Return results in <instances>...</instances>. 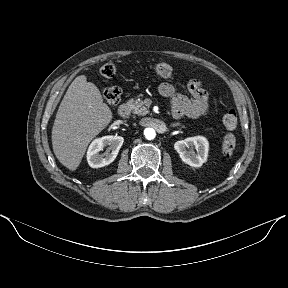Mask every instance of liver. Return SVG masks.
Returning a JSON list of instances; mask_svg holds the SVG:
<instances>
[{"instance_id":"6515ba94","label":"liver","mask_w":288,"mask_h":288,"mask_svg":"<svg viewBox=\"0 0 288 288\" xmlns=\"http://www.w3.org/2000/svg\"><path fill=\"white\" fill-rule=\"evenodd\" d=\"M111 109L85 75L74 79L58 108L52 128V147L59 162L75 171L89 143L111 122Z\"/></svg>"}]
</instances>
